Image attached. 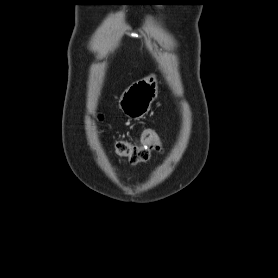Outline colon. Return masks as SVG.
I'll return each mask as SVG.
<instances>
[{"instance_id":"1","label":"colon","mask_w":278,"mask_h":278,"mask_svg":"<svg viewBox=\"0 0 278 278\" xmlns=\"http://www.w3.org/2000/svg\"><path fill=\"white\" fill-rule=\"evenodd\" d=\"M143 140V146H136L128 141H119L115 146V152L127 158L132 164L143 162L150 156L149 145L160 144V137L155 131L149 129L143 132Z\"/></svg>"}]
</instances>
